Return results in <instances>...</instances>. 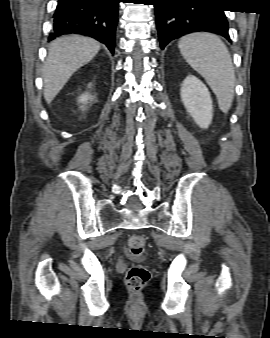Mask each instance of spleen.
I'll return each instance as SVG.
<instances>
[{
	"instance_id": "1",
	"label": "spleen",
	"mask_w": 270,
	"mask_h": 338,
	"mask_svg": "<svg viewBox=\"0 0 270 338\" xmlns=\"http://www.w3.org/2000/svg\"><path fill=\"white\" fill-rule=\"evenodd\" d=\"M178 47L187 63L210 86L220 110L227 113L234 97L235 71L226 45L215 34L198 32L183 36Z\"/></svg>"
}]
</instances>
